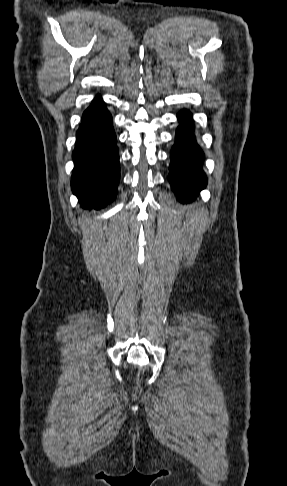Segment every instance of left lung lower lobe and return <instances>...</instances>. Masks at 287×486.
<instances>
[{
	"instance_id": "left-lung-lower-lobe-1",
	"label": "left lung lower lobe",
	"mask_w": 287,
	"mask_h": 486,
	"mask_svg": "<svg viewBox=\"0 0 287 486\" xmlns=\"http://www.w3.org/2000/svg\"><path fill=\"white\" fill-rule=\"evenodd\" d=\"M180 125L172 147L169 182L179 201L190 202L205 188L207 178L202 170L204 154L193 134L192 114L182 110L178 114Z\"/></svg>"
}]
</instances>
